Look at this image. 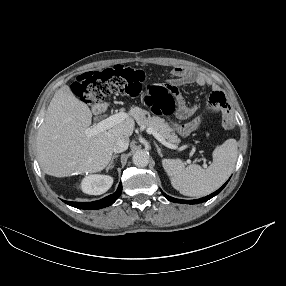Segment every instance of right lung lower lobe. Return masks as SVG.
<instances>
[{
    "mask_svg": "<svg viewBox=\"0 0 286 286\" xmlns=\"http://www.w3.org/2000/svg\"><path fill=\"white\" fill-rule=\"evenodd\" d=\"M122 192V184H119L117 191L101 200L94 202H69L64 201L66 204L73 206L78 209H100L112 205L120 196Z\"/></svg>",
    "mask_w": 286,
    "mask_h": 286,
    "instance_id": "right-lung-lower-lobe-1",
    "label": "right lung lower lobe"
}]
</instances>
